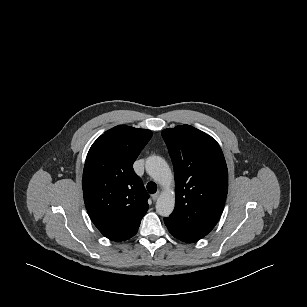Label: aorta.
I'll list each match as a JSON object with an SVG mask.
<instances>
[{"mask_svg": "<svg viewBox=\"0 0 307 307\" xmlns=\"http://www.w3.org/2000/svg\"><path fill=\"white\" fill-rule=\"evenodd\" d=\"M145 168L146 172L165 188L156 202V212L168 217L175 207V193L170 188L174 180L171 169L162 157L155 155L146 159Z\"/></svg>", "mask_w": 307, "mask_h": 307, "instance_id": "762f6f07", "label": "aorta"}]
</instances>
